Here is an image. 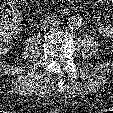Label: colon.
<instances>
[{
	"instance_id": "1",
	"label": "colon",
	"mask_w": 113,
	"mask_h": 113,
	"mask_svg": "<svg viewBox=\"0 0 113 113\" xmlns=\"http://www.w3.org/2000/svg\"><path fill=\"white\" fill-rule=\"evenodd\" d=\"M26 0H0V45L1 31L5 28H12L16 23L13 13L19 12Z\"/></svg>"
}]
</instances>
